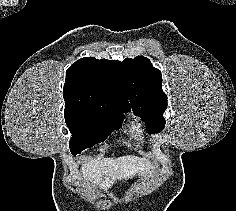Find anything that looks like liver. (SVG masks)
<instances>
[{
  "instance_id": "liver-1",
  "label": "liver",
  "mask_w": 236,
  "mask_h": 211,
  "mask_svg": "<svg viewBox=\"0 0 236 211\" xmlns=\"http://www.w3.org/2000/svg\"><path fill=\"white\" fill-rule=\"evenodd\" d=\"M81 170L87 184L97 185L104 191L117 180H127L136 174L147 177L155 173L148 160L132 155L90 160L82 165Z\"/></svg>"
}]
</instances>
